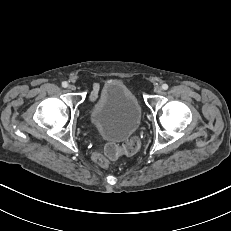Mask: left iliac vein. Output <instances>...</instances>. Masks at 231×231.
Instances as JSON below:
<instances>
[{
    "instance_id": "4c4485c4",
    "label": "left iliac vein",
    "mask_w": 231,
    "mask_h": 231,
    "mask_svg": "<svg viewBox=\"0 0 231 231\" xmlns=\"http://www.w3.org/2000/svg\"><path fill=\"white\" fill-rule=\"evenodd\" d=\"M154 92L159 94V93L162 92V88H161L160 86H156V87L154 88Z\"/></svg>"
}]
</instances>
